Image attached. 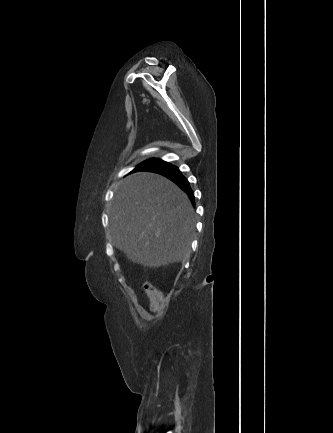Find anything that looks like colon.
Masks as SVG:
<instances>
[{"mask_svg": "<svg viewBox=\"0 0 333 433\" xmlns=\"http://www.w3.org/2000/svg\"><path fill=\"white\" fill-rule=\"evenodd\" d=\"M144 290L152 302V309L159 311L163 305V297L161 293L150 283L144 284Z\"/></svg>", "mask_w": 333, "mask_h": 433, "instance_id": "1", "label": "colon"}]
</instances>
